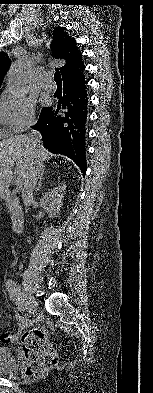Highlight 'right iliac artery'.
<instances>
[{
    "label": "right iliac artery",
    "mask_w": 153,
    "mask_h": 393,
    "mask_svg": "<svg viewBox=\"0 0 153 393\" xmlns=\"http://www.w3.org/2000/svg\"><path fill=\"white\" fill-rule=\"evenodd\" d=\"M6 289L8 290L10 298L15 301L18 309L23 310L22 306L25 303V298L22 295L21 287L19 285H16V283L12 279H8L6 282Z\"/></svg>",
    "instance_id": "right-iliac-artery-1"
}]
</instances>
